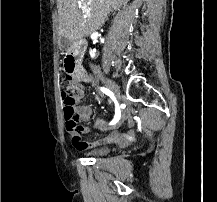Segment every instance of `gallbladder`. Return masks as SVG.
I'll return each mask as SVG.
<instances>
[{"mask_svg": "<svg viewBox=\"0 0 217 202\" xmlns=\"http://www.w3.org/2000/svg\"><path fill=\"white\" fill-rule=\"evenodd\" d=\"M68 47H71V42L67 38H61L60 51H67Z\"/></svg>", "mask_w": 217, "mask_h": 202, "instance_id": "1", "label": "gallbladder"}]
</instances>
